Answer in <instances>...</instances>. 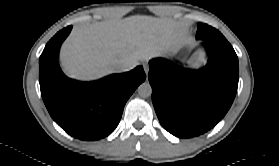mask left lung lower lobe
I'll return each mask as SVG.
<instances>
[{
  "mask_svg": "<svg viewBox=\"0 0 279 166\" xmlns=\"http://www.w3.org/2000/svg\"><path fill=\"white\" fill-rule=\"evenodd\" d=\"M196 38L210 50L200 70L176 66L165 59L150 61L152 100L162 126L177 137H193L215 126L229 110L238 87V57L215 28L198 23Z\"/></svg>",
  "mask_w": 279,
  "mask_h": 166,
  "instance_id": "obj_1",
  "label": "left lung lower lobe"
}]
</instances>
